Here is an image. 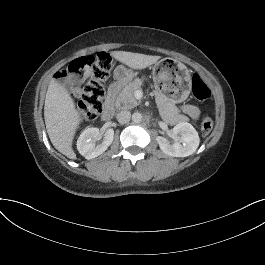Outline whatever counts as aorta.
Wrapping results in <instances>:
<instances>
[{
    "label": "aorta",
    "mask_w": 265,
    "mask_h": 265,
    "mask_svg": "<svg viewBox=\"0 0 265 265\" xmlns=\"http://www.w3.org/2000/svg\"><path fill=\"white\" fill-rule=\"evenodd\" d=\"M132 120H133L134 123H140L142 121V115H141V113L135 112L132 115Z\"/></svg>",
    "instance_id": "aorta-1"
}]
</instances>
